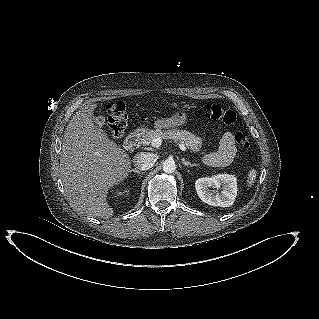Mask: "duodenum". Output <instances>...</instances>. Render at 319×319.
<instances>
[{"label":"duodenum","instance_id":"410a0bca","mask_svg":"<svg viewBox=\"0 0 319 319\" xmlns=\"http://www.w3.org/2000/svg\"><path fill=\"white\" fill-rule=\"evenodd\" d=\"M142 132L143 128H136L133 131H131L123 143L124 149L127 151H132L136 147Z\"/></svg>","mask_w":319,"mask_h":319}]
</instances>
